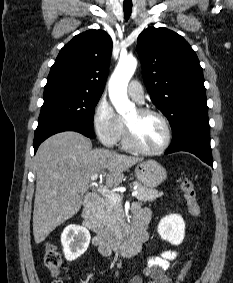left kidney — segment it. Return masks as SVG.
<instances>
[{"label": "left kidney", "mask_w": 233, "mask_h": 283, "mask_svg": "<svg viewBox=\"0 0 233 283\" xmlns=\"http://www.w3.org/2000/svg\"><path fill=\"white\" fill-rule=\"evenodd\" d=\"M158 233L163 240L180 245L185 236V222L177 214L166 216L159 222Z\"/></svg>", "instance_id": "left-kidney-1"}]
</instances>
